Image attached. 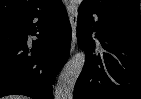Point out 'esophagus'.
I'll list each match as a JSON object with an SVG mask.
<instances>
[{
  "mask_svg": "<svg viewBox=\"0 0 141 99\" xmlns=\"http://www.w3.org/2000/svg\"><path fill=\"white\" fill-rule=\"evenodd\" d=\"M67 13L72 30L71 52H73L75 50L76 41H77L76 32H77V21H78L77 7L73 3V1L67 2Z\"/></svg>",
  "mask_w": 141,
  "mask_h": 99,
  "instance_id": "34e87169",
  "label": "esophagus"
}]
</instances>
